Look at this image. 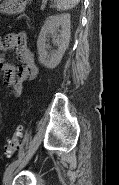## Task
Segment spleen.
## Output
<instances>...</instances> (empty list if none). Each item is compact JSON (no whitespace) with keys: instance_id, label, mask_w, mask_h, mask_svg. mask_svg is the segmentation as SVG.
<instances>
[{"instance_id":"obj_1","label":"spleen","mask_w":119,"mask_h":185,"mask_svg":"<svg viewBox=\"0 0 119 185\" xmlns=\"http://www.w3.org/2000/svg\"><path fill=\"white\" fill-rule=\"evenodd\" d=\"M80 0H56L57 2V9L61 11H66L69 9L74 8Z\"/></svg>"}]
</instances>
